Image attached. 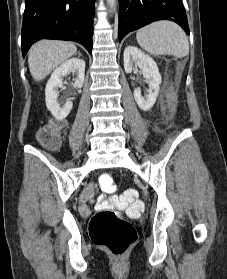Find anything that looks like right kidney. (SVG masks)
Here are the masks:
<instances>
[{
  "mask_svg": "<svg viewBox=\"0 0 227 279\" xmlns=\"http://www.w3.org/2000/svg\"><path fill=\"white\" fill-rule=\"evenodd\" d=\"M70 73H76L74 79V87L81 88L84 83L85 76V61L79 58H71L63 62L51 74L45 88V101L47 109L58 120L66 118L72 110V101H67L64 105H60L57 101L59 92L58 88H62L63 78Z\"/></svg>",
  "mask_w": 227,
  "mask_h": 279,
  "instance_id": "obj_1",
  "label": "right kidney"
}]
</instances>
